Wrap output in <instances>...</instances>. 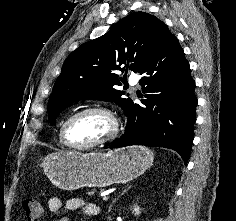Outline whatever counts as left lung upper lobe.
<instances>
[{"mask_svg":"<svg viewBox=\"0 0 236 221\" xmlns=\"http://www.w3.org/2000/svg\"><path fill=\"white\" fill-rule=\"evenodd\" d=\"M167 31L157 17L135 12L103 36L80 45L67 57L54 84L48 103L49 122L54 124L64 108L82 98L114 101L125 112L132 100L122 98L125 92L116 89L126 78L116 71L140 72Z\"/></svg>","mask_w":236,"mask_h":221,"instance_id":"5c2ea615","label":"left lung upper lobe"}]
</instances>
